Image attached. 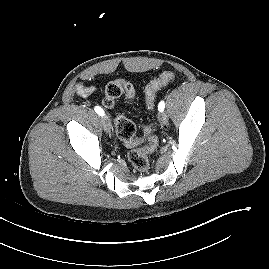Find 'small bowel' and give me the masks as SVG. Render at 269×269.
I'll return each instance as SVG.
<instances>
[{"mask_svg": "<svg viewBox=\"0 0 269 269\" xmlns=\"http://www.w3.org/2000/svg\"><path fill=\"white\" fill-rule=\"evenodd\" d=\"M75 92L81 97H87L96 93V88L93 86H85L81 83L75 86Z\"/></svg>", "mask_w": 269, "mask_h": 269, "instance_id": "obj_1", "label": "small bowel"}]
</instances>
